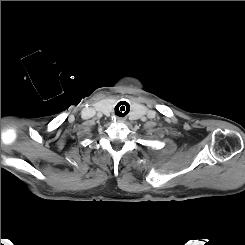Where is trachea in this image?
<instances>
[{
  "label": "trachea",
  "mask_w": 245,
  "mask_h": 245,
  "mask_svg": "<svg viewBox=\"0 0 245 245\" xmlns=\"http://www.w3.org/2000/svg\"><path fill=\"white\" fill-rule=\"evenodd\" d=\"M130 111V104L126 101H120L115 106V114L119 117L126 116Z\"/></svg>",
  "instance_id": "1"
}]
</instances>
